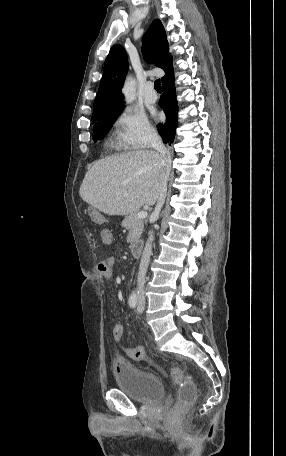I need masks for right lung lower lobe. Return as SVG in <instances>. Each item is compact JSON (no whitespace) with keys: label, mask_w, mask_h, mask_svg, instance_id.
<instances>
[{"label":"right lung lower lobe","mask_w":286,"mask_h":456,"mask_svg":"<svg viewBox=\"0 0 286 456\" xmlns=\"http://www.w3.org/2000/svg\"><path fill=\"white\" fill-rule=\"evenodd\" d=\"M173 78L174 77L170 78L162 84L164 93L159 101V105L164 110L167 117L164 124L158 125V130L164 143L173 142L177 127L178 106Z\"/></svg>","instance_id":"1"}]
</instances>
